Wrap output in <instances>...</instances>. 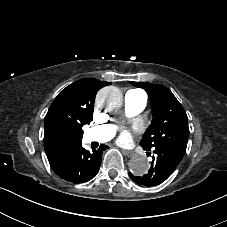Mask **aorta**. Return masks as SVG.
Segmentation results:
<instances>
[{
    "mask_svg": "<svg viewBox=\"0 0 227 227\" xmlns=\"http://www.w3.org/2000/svg\"><path fill=\"white\" fill-rule=\"evenodd\" d=\"M121 91L116 87L101 89L96 97L97 105L107 111H115L122 105ZM130 172L136 176H143L149 169L148 161L142 156H134L129 161Z\"/></svg>",
    "mask_w": 227,
    "mask_h": 227,
    "instance_id": "aorta-1",
    "label": "aorta"
}]
</instances>
